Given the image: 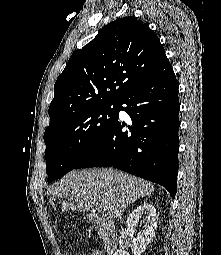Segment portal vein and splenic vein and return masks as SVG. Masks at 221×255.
Segmentation results:
<instances>
[{
	"mask_svg": "<svg viewBox=\"0 0 221 255\" xmlns=\"http://www.w3.org/2000/svg\"><path fill=\"white\" fill-rule=\"evenodd\" d=\"M101 207H102L104 210H106V207H105L104 205H101Z\"/></svg>",
	"mask_w": 221,
	"mask_h": 255,
	"instance_id": "portal-vein-and-splenic-vein-1",
	"label": "portal vein and splenic vein"
}]
</instances>
